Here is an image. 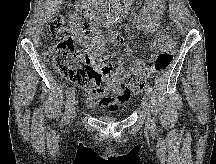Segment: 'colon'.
I'll use <instances>...</instances> for the list:
<instances>
[{
	"label": "colon",
	"instance_id": "1",
	"mask_svg": "<svg viewBox=\"0 0 216 164\" xmlns=\"http://www.w3.org/2000/svg\"><path fill=\"white\" fill-rule=\"evenodd\" d=\"M77 22L69 16L57 14L48 22V29L53 45L46 51L47 59L54 65L59 74L85 91L100 87L105 68L94 65L89 60L82 61L75 53L71 37ZM174 59V39L168 35V46L161 51L153 66L144 67L133 76L130 88L133 93L144 90L148 78L153 74L162 73L169 68Z\"/></svg>",
	"mask_w": 216,
	"mask_h": 164
}]
</instances>
